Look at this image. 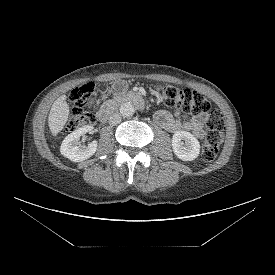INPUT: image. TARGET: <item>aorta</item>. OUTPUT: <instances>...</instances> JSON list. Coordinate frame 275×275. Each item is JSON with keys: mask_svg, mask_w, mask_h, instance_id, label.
Segmentation results:
<instances>
[{"mask_svg": "<svg viewBox=\"0 0 275 275\" xmlns=\"http://www.w3.org/2000/svg\"><path fill=\"white\" fill-rule=\"evenodd\" d=\"M120 113L124 117H130L135 113V108L130 102L122 103L120 106Z\"/></svg>", "mask_w": 275, "mask_h": 275, "instance_id": "762f6f07", "label": "aorta"}]
</instances>
